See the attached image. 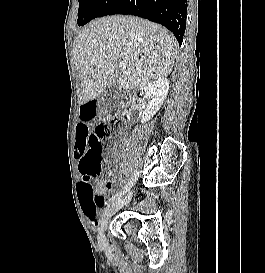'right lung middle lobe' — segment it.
I'll return each mask as SVG.
<instances>
[{"mask_svg":"<svg viewBox=\"0 0 265 273\" xmlns=\"http://www.w3.org/2000/svg\"><path fill=\"white\" fill-rule=\"evenodd\" d=\"M117 0H79L78 25L106 16Z\"/></svg>","mask_w":265,"mask_h":273,"instance_id":"1","label":"right lung middle lobe"}]
</instances>
